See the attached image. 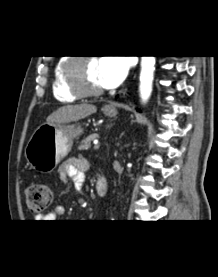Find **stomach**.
<instances>
[{
  "label": "stomach",
  "instance_id": "0dacf381",
  "mask_svg": "<svg viewBox=\"0 0 218 277\" xmlns=\"http://www.w3.org/2000/svg\"><path fill=\"white\" fill-rule=\"evenodd\" d=\"M103 112L108 117H115L117 110L105 106ZM83 133L80 125L45 123L31 135L25 148L28 164L38 172H51L71 150L73 140Z\"/></svg>",
  "mask_w": 218,
  "mask_h": 277
}]
</instances>
